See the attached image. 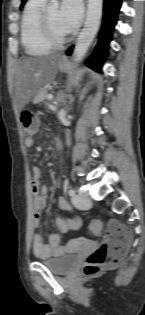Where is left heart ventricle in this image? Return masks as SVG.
Segmentation results:
<instances>
[{
	"label": "left heart ventricle",
	"mask_w": 145,
	"mask_h": 315,
	"mask_svg": "<svg viewBox=\"0 0 145 315\" xmlns=\"http://www.w3.org/2000/svg\"><path fill=\"white\" fill-rule=\"evenodd\" d=\"M48 12L54 34L58 38H63L68 35L69 31L67 30L61 19L59 9L56 6H51L48 8Z\"/></svg>",
	"instance_id": "obj_1"
}]
</instances>
